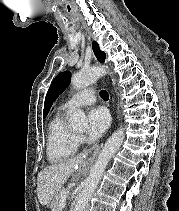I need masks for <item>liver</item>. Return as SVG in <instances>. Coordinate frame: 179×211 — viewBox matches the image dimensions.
<instances>
[{
	"label": "liver",
	"mask_w": 179,
	"mask_h": 211,
	"mask_svg": "<svg viewBox=\"0 0 179 211\" xmlns=\"http://www.w3.org/2000/svg\"><path fill=\"white\" fill-rule=\"evenodd\" d=\"M83 164L78 156L65 162L51 165L38 174L37 196L41 205H49L66 180Z\"/></svg>",
	"instance_id": "obj_1"
}]
</instances>
